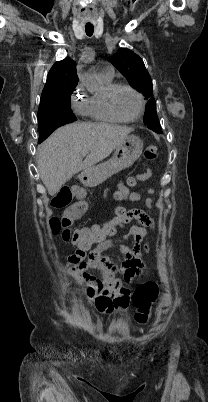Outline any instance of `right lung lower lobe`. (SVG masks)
Here are the masks:
<instances>
[{"label":"right lung lower lobe","instance_id":"right-lung-lower-lobe-1","mask_svg":"<svg viewBox=\"0 0 208 402\" xmlns=\"http://www.w3.org/2000/svg\"><path fill=\"white\" fill-rule=\"evenodd\" d=\"M64 124L65 123L57 121L55 119L43 121L39 123V131H41V133H43L47 138L55 129Z\"/></svg>","mask_w":208,"mask_h":402}]
</instances>
